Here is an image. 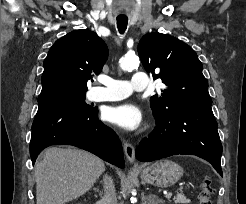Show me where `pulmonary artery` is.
I'll return each instance as SVG.
<instances>
[{
	"mask_svg": "<svg viewBox=\"0 0 246 204\" xmlns=\"http://www.w3.org/2000/svg\"><path fill=\"white\" fill-rule=\"evenodd\" d=\"M103 86L94 87L88 98L92 101H117L130 96L133 91H142L148 87V76L144 72H135L130 81L116 80L110 77L99 78Z\"/></svg>",
	"mask_w": 246,
	"mask_h": 204,
	"instance_id": "1",
	"label": "pulmonary artery"
}]
</instances>
